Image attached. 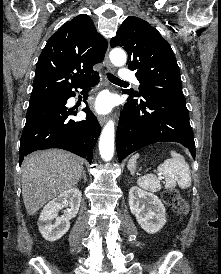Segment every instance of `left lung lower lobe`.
I'll use <instances>...</instances> for the list:
<instances>
[{"mask_svg": "<svg viewBox=\"0 0 221 274\" xmlns=\"http://www.w3.org/2000/svg\"><path fill=\"white\" fill-rule=\"evenodd\" d=\"M175 141L195 158L194 134L185 99L130 96L120 115L116 134L119 161L155 142Z\"/></svg>", "mask_w": 221, "mask_h": 274, "instance_id": "0a47b994", "label": "left lung lower lobe"}]
</instances>
